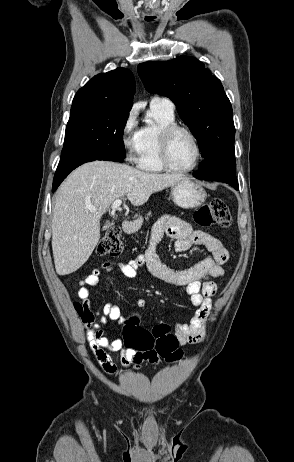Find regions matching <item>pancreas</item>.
Instances as JSON below:
<instances>
[{"instance_id":"cf45deb5","label":"pancreas","mask_w":294,"mask_h":462,"mask_svg":"<svg viewBox=\"0 0 294 462\" xmlns=\"http://www.w3.org/2000/svg\"><path fill=\"white\" fill-rule=\"evenodd\" d=\"M150 216H151V212H149V213L147 214L146 220H148V218H149Z\"/></svg>"}]
</instances>
